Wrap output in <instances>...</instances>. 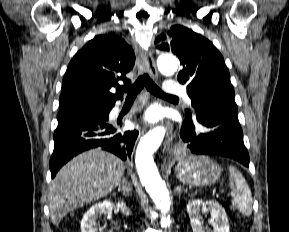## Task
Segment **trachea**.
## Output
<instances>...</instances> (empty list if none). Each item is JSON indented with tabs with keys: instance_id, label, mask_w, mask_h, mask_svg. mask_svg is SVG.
Listing matches in <instances>:
<instances>
[{
	"instance_id": "obj_1",
	"label": "trachea",
	"mask_w": 289,
	"mask_h": 232,
	"mask_svg": "<svg viewBox=\"0 0 289 232\" xmlns=\"http://www.w3.org/2000/svg\"><path fill=\"white\" fill-rule=\"evenodd\" d=\"M153 95L157 97L162 98H177L173 95L165 94L156 84L155 82L149 77L147 73H143L140 75L134 84L131 86L123 87L121 90L125 93H127V99H133L136 98L138 93L144 88Z\"/></svg>"
}]
</instances>
